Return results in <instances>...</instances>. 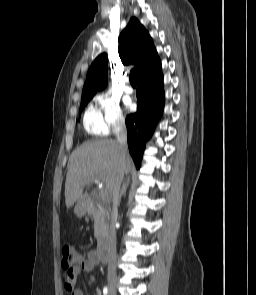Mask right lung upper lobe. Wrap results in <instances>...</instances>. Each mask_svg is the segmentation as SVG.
<instances>
[{
    "mask_svg": "<svg viewBox=\"0 0 256 295\" xmlns=\"http://www.w3.org/2000/svg\"><path fill=\"white\" fill-rule=\"evenodd\" d=\"M118 52L124 65L134 64L136 79L160 62L152 39L136 18H131L119 37ZM107 85V55H99L90 66L82 98L93 97Z\"/></svg>",
    "mask_w": 256,
    "mask_h": 295,
    "instance_id": "cb5924a9",
    "label": "right lung upper lobe"
}]
</instances>
